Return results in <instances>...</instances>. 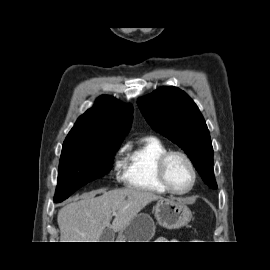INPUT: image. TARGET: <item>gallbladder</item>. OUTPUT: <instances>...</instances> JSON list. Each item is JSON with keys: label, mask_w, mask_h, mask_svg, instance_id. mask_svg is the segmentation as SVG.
I'll use <instances>...</instances> for the list:
<instances>
[{"label": "gallbladder", "mask_w": 270, "mask_h": 270, "mask_svg": "<svg viewBox=\"0 0 270 270\" xmlns=\"http://www.w3.org/2000/svg\"><path fill=\"white\" fill-rule=\"evenodd\" d=\"M114 239V232L106 228L100 236V242H111Z\"/></svg>", "instance_id": "bac80fb5"}]
</instances>
